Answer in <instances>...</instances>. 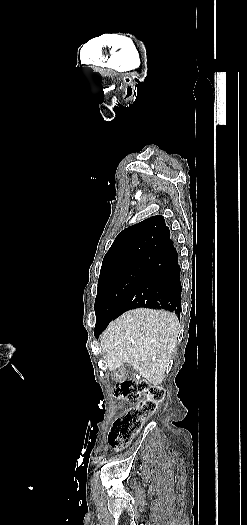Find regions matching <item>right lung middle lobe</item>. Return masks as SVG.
Instances as JSON below:
<instances>
[{"instance_id": "1", "label": "right lung middle lobe", "mask_w": 247, "mask_h": 525, "mask_svg": "<svg viewBox=\"0 0 247 525\" xmlns=\"http://www.w3.org/2000/svg\"><path fill=\"white\" fill-rule=\"evenodd\" d=\"M154 256H147L134 266L122 270L100 272L95 299L96 325L107 326L118 316L117 310L138 278L151 264Z\"/></svg>"}]
</instances>
